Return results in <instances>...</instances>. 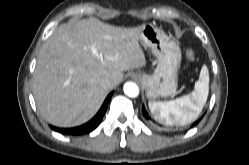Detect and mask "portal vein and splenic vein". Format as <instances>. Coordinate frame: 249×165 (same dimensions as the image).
<instances>
[{
  "label": "portal vein and splenic vein",
  "mask_w": 249,
  "mask_h": 165,
  "mask_svg": "<svg viewBox=\"0 0 249 165\" xmlns=\"http://www.w3.org/2000/svg\"><path fill=\"white\" fill-rule=\"evenodd\" d=\"M91 51L93 52L94 55L98 56L97 50L95 49L94 46H91Z\"/></svg>",
  "instance_id": "obj_1"
}]
</instances>
